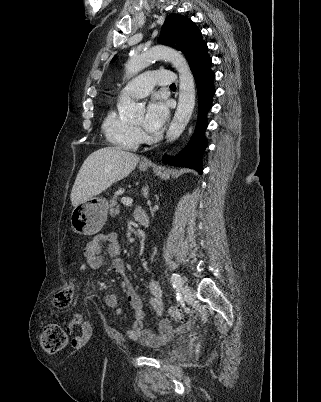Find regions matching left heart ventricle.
<instances>
[{"mask_svg":"<svg viewBox=\"0 0 321 402\" xmlns=\"http://www.w3.org/2000/svg\"><path fill=\"white\" fill-rule=\"evenodd\" d=\"M142 122H143V119L140 118L134 124H135V126H140L142 124Z\"/></svg>","mask_w":321,"mask_h":402,"instance_id":"1","label":"left heart ventricle"}]
</instances>
